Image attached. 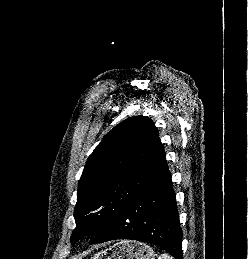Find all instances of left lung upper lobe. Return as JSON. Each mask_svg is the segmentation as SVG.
Segmentation results:
<instances>
[{"instance_id":"5c2ea615","label":"left lung upper lobe","mask_w":248,"mask_h":259,"mask_svg":"<svg viewBox=\"0 0 248 259\" xmlns=\"http://www.w3.org/2000/svg\"><path fill=\"white\" fill-rule=\"evenodd\" d=\"M167 173L164 148L153 122L135 116L118 124L86 162L78 184L71 243L101 232Z\"/></svg>"}]
</instances>
